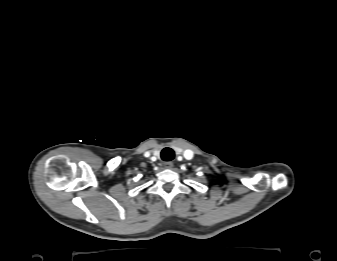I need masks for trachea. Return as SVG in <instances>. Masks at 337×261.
I'll return each mask as SVG.
<instances>
[{"label": "trachea", "instance_id": "trachea-1", "mask_svg": "<svg viewBox=\"0 0 337 261\" xmlns=\"http://www.w3.org/2000/svg\"><path fill=\"white\" fill-rule=\"evenodd\" d=\"M175 156V153L173 151V149L166 147L161 151V158L164 161H171L173 160Z\"/></svg>", "mask_w": 337, "mask_h": 261}]
</instances>
